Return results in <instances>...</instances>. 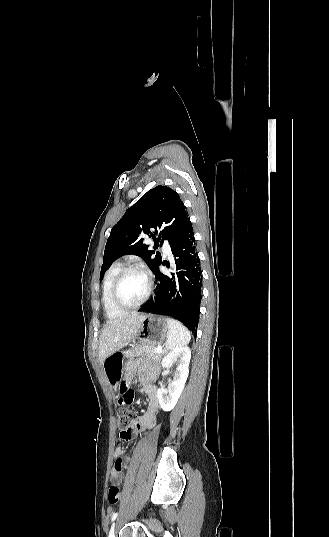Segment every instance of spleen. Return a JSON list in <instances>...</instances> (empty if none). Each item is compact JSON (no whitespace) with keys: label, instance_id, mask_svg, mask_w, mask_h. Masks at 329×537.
<instances>
[{"label":"spleen","instance_id":"obj_1","mask_svg":"<svg viewBox=\"0 0 329 537\" xmlns=\"http://www.w3.org/2000/svg\"><path fill=\"white\" fill-rule=\"evenodd\" d=\"M168 325L169 335L166 341V348L168 350L181 348L190 342L191 334L181 322L169 318Z\"/></svg>","mask_w":329,"mask_h":537}]
</instances>
